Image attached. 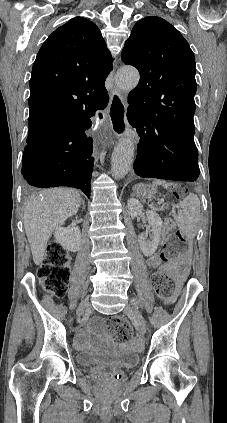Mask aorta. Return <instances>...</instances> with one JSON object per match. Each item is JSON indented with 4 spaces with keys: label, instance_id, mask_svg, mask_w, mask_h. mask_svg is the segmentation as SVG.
Listing matches in <instances>:
<instances>
[{
    "label": "aorta",
    "instance_id": "1",
    "mask_svg": "<svg viewBox=\"0 0 227 423\" xmlns=\"http://www.w3.org/2000/svg\"><path fill=\"white\" fill-rule=\"evenodd\" d=\"M139 81V73L133 67H122L115 76L119 89L130 91ZM135 145L131 136L122 137L114 148L111 159V173L115 179L123 178L131 169L134 159Z\"/></svg>",
    "mask_w": 227,
    "mask_h": 423
}]
</instances>
